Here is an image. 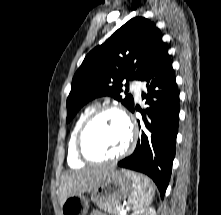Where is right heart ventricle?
Returning a JSON list of instances; mask_svg holds the SVG:
<instances>
[{"instance_id":"right-heart-ventricle-1","label":"right heart ventricle","mask_w":221,"mask_h":215,"mask_svg":"<svg viewBox=\"0 0 221 215\" xmlns=\"http://www.w3.org/2000/svg\"><path fill=\"white\" fill-rule=\"evenodd\" d=\"M95 108H96L95 104H90L87 107H85V109L80 113L76 122L73 125L70 138L68 141V154H67V161L70 167L80 168L85 165V162H83L76 153L75 140L82 123Z\"/></svg>"}]
</instances>
